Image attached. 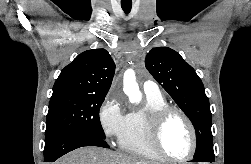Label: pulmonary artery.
I'll use <instances>...</instances> for the list:
<instances>
[{"label": "pulmonary artery", "instance_id": "obj_1", "mask_svg": "<svg viewBox=\"0 0 251 164\" xmlns=\"http://www.w3.org/2000/svg\"><path fill=\"white\" fill-rule=\"evenodd\" d=\"M143 90L146 95H150V96L161 95L158 85L151 80H147L143 83Z\"/></svg>", "mask_w": 251, "mask_h": 164}]
</instances>
